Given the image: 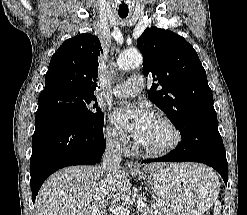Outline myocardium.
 Instances as JSON below:
<instances>
[{
  "mask_svg": "<svg viewBox=\"0 0 247 215\" xmlns=\"http://www.w3.org/2000/svg\"><path fill=\"white\" fill-rule=\"evenodd\" d=\"M157 120L160 123H162L165 127H167L168 130L170 131L171 133L170 142L164 147L158 149L148 148L142 145L141 143H138V147L141 150V152H143L146 156L153 158L163 157L170 154L179 146L182 139L180 130L170 118L165 116H158Z\"/></svg>",
  "mask_w": 247,
  "mask_h": 215,
  "instance_id": "f54148a6",
  "label": "myocardium"
}]
</instances>
